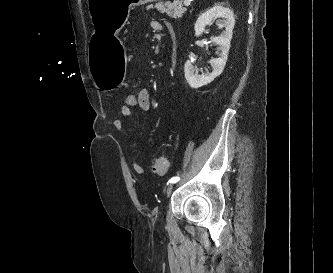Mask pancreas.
Here are the masks:
<instances>
[{"label": "pancreas", "instance_id": "cf45deb5", "mask_svg": "<svg viewBox=\"0 0 333 273\" xmlns=\"http://www.w3.org/2000/svg\"><path fill=\"white\" fill-rule=\"evenodd\" d=\"M149 8H153V6H149ZM154 8H156L161 13H166L169 17L174 19L181 18L183 14L186 12V8L183 7L182 1L174 0L173 2H159Z\"/></svg>", "mask_w": 333, "mask_h": 273}]
</instances>
